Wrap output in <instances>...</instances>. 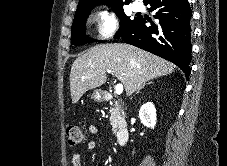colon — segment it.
Here are the masks:
<instances>
[{
    "label": "colon",
    "mask_w": 227,
    "mask_h": 166,
    "mask_svg": "<svg viewBox=\"0 0 227 166\" xmlns=\"http://www.w3.org/2000/svg\"><path fill=\"white\" fill-rule=\"evenodd\" d=\"M68 144L71 147L83 144L87 140V134L77 125H68L66 129Z\"/></svg>",
    "instance_id": "1"
}]
</instances>
